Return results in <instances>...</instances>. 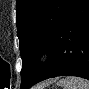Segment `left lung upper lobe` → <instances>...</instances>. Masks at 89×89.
<instances>
[{"instance_id": "5c2ea615", "label": "left lung upper lobe", "mask_w": 89, "mask_h": 89, "mask_svg": "<svg viewBox=\"0 0 89 89\" xmlns=\"http://www.w3.org/2000/svg\"><path fill=\"white\" fill-rule=\"evenodd\" d=\"M72 0H17L16 23L23 62L21 89H26L52 46L55 31Z\"/></svg>"}]
</instances>
